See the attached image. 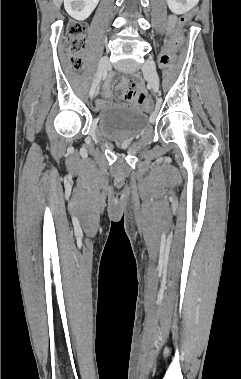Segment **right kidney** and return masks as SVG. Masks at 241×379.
I'll return each mask as SVG.
<instances>
[{
    "label": "right kidney",
    "instance_id": "obj_1",
    "mask_svg": "<svg viewBox=\"0 0 241 379\" xmlns=\"http://www.w3.org/2000/svg\"><path fill=\"white\" fill-rule=\"evenodd\" d=\"M99 0H64L66 12L74 19L83 21L94 11Z\"/></svg>",
    "mask_w": 241,
    "mask_h": 379
}]
</instances>
